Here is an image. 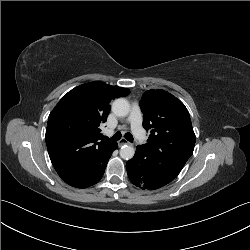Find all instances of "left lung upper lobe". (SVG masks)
Segmentation results:
<instances>
[{
    "label": "left lung upper lobe",
    "mask_w": 250,
    "mask_h": 250,
    "mask_svg": "<svg viewBox=\"0 0 250 250\" xmlns=\"http://www.w3.org/2000/svg\"><path fill=\"white\" fill-rule=\"evenodd\" d=\"M143 127L150 131L145 148L153 160L183 168L193 153L195 134L185 105L164 90H148L141 99Z\"/></svg>",
    "instance_id": "1"
}]
</instances>
